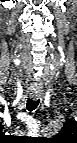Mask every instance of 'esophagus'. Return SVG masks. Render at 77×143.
<instances>
[{
	"mask_svg": "<svg viewBox=\"0 0 77 143\" xmlns=\"http://www.w3.org/2000/svg\"><path fill=\"white\" fill-rule=\"evenodd\" d=\"M30 97H31L33 100H37L38 97H39V95L36 94V93H31V94H30Z\"/></svg>",
	"mask_w": 77,
	"mask_h": 143,
	"instance_id": "obj_1",
	"label": "esophagus"
}]
</instances>
